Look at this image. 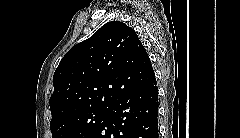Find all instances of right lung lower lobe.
Segmentation results:
<instances>
[{"label":"right lung lower lobe","mask_w":240,"mask_h":138,"mask_svg":"<svg viewBox=\"0 0 240 138\" xmlns=\"http://www.w3.org/2000/svg\"><path fill=\"white\" fill-rule=\"evenodd\" d=\"M158 87L155 76L108 107L91 138H158Z\"/></svg>","instance_id":"1"}]
</instances>
